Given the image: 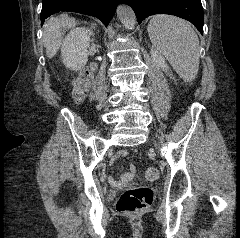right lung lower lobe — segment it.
I'll return each instance as SVG.
<instances>
[{
	"label": "right lung lower lobe",
	"instance_id": "right-lung-lower-lobe-1",
	"mask_svg": "<svg viewBox=\"0 0 240 238\" xmlns=\"http://www.w3.org/2000/svg\"><path fill=\"white\" fill-rule=\"evenodd\" d=\"M121 0H42L41 25L57 12H78L99 18L108 25Z\"/></svg>",
	"mask_w": 240,
	"mask_h": 238
}]
</instances>
